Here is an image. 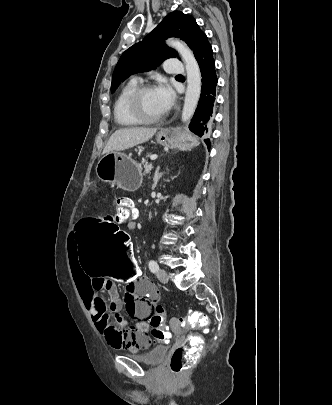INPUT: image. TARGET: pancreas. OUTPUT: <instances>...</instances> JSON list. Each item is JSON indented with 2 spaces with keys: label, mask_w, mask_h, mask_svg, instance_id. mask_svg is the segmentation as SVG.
Instances as JSON below:
<instances>
[{
  "label": "pancreas",
  "mask_w": 332,
  "mask_h": 405,
  "mask_svg": "<svg viewBox=\"0 0 332 405\" xmlns=\"http://www.w3.org/2000/svg\"><path fill=\"white\" fill-rule=\"evenodd\" d=\"M151 167H152V164H147V163H145L144 164V175H146V174H148L149 172H150V170H151Z\"/></svg>",
  "instance_id": "cf45deb5"
}]
</instances>
